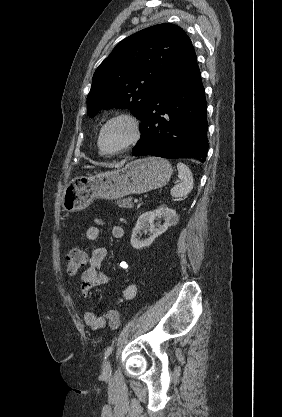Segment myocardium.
I'll return each mask as SVG.
<instances>
[{
    "label": "myocardium",
    "instance_id": "1",
    "mask_svg": "<svg viewBox=\"0 0 282 417\" xmlns=\"http://www.w3.org/2000/svg\"><path fill=\"white\" fill-rule=\"evenodd\" d=\"M118 125L123 126L127 130L126 138L124 139L122 143H120L114 149L105 150L102 145V140H103L104 135L111 128L118 126ZM139 137H140V128H139L138 120L135 117L128 115V114H119L117 116H114L110 120H108L107 123L102 127L99 137H98V146H99L100 152L103 155H112L133 145L139 139Z\"/></svg>",
    "mask_w": 282,
    "mask_h": 417
}]
</instances>
